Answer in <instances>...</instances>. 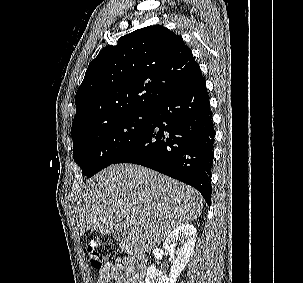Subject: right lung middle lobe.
Segmentation results:
<instances>
[{"label":"right lung middle lobe","instance_id":"dd1d6c3e","mask_svg":"<svg viewBox=\"0 0 303 283\" xmlns=\"http://www.w3.org/2000/svg\"><path fill=\"white\" fill-rule=\"evenodd\" d=\"M150 111H134L72 133L73 158L88 178L111 165L146 131Z\"/></svg>","mask_w":303,"mask_h":283}]
</instances>
